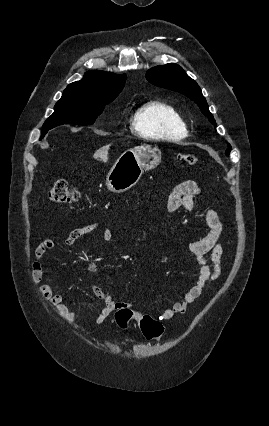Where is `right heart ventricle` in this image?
<instances>
[{
    "label": "right heart ventricle",
    "mask_w": 269,
    "mask_h": 426,
    "mask_svg": "<svg viewBox=\"0 0 269 426\" xmlns=\"http://www.w3.org/2000/svg\"><path fill=\"white\" fill-rule=\"evenodd\" d=\"M131 127L148 140H180L188 133L177 108L161 100H150L140 105L131 117Z\"/></svg>",
    "instance_id": "obj_1"
}]
</instances>
